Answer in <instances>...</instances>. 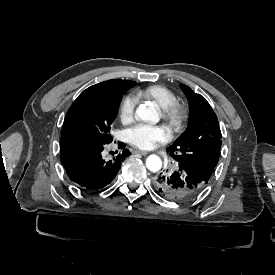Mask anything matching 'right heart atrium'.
I'll return each instance as SVG.
<instances>
[{
  "label": "right heart atrium",
  "instance_id": "1",
  "mask_svg": "<svg viewBox=\"0 0 275 275\" xmlns=\"http://www.w3.org/2000/svg\"><path fill=\"white\" fill-rule=\"evenodd\" d=\"M136 103V98L131 95H127L122 99L119 112L123 123L128 124L133 120Z\"/></svg>",
  "mask_w": 275,
  "mask_h": 275
}]
</instances>
